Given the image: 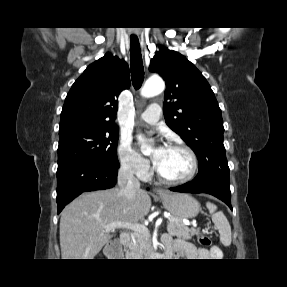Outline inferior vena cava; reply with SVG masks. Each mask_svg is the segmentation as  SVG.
<instances>
[{
	"label": "inferior vena cava",
	"mask_w": 287,
	"mask_h": 287,
	"mask_svg": "<svg viewBox=\"0 0 287 287\" xmlns=\"http://www.w3.org/2000/svg\"><path fill=\"white\" fill-rule=\"evenodd\" d=\"M118 186L122 194L129 200H134L136 193L140 190V182L134 176L132 167L127 164H121L118 172Z\"/></svg>",
	"instance_id": "obj_1"
}]
</instances>
